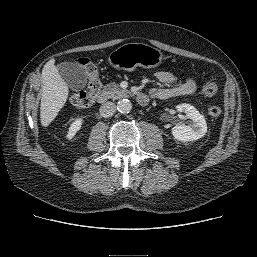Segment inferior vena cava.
<instances>
[{"instance_id":"602c4592","label":"inferior vena cava","mask_w":257,"mask_h":257,"mask_svg":"<svg viewBox=\"0 0 257 257\" xmlns=\"http://www.w3.org/2000/svg\"><path fill=\"white\" fill-rule=\"evenodd\" d=\"M101 116L107 118L111 117L116 111V105L113 102H106L100 107Z\"/></svg>"}]
</instances>
